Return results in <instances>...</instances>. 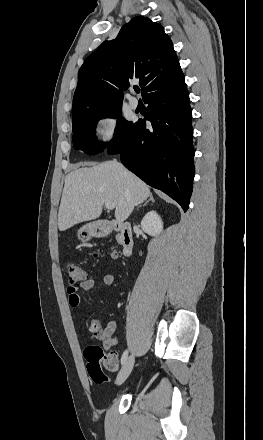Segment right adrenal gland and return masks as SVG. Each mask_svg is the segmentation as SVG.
I'll use <instances>...</instances> for the list:
<instances>
[{
	"label": "right adrenal gland",
	"instance_id": "obj_1",
	"mask_svg": "<svg viewBox=\"0 0 263 440\" xmlns=\"http://www.w3.org/2000/svg\"><path fill=\"white\" fill-rule=\"evenodd\" d=\"M150 201H151V202H154V199H153L152 196H150L149 199H148L147 201H145L143 204L139 205V206L137 207V209H138L139 207H141V206H145V205H147V203L150 202Z\"/></svg>",
	"mask_w": 263,
	"mask_h": 440
}]
</instances>
